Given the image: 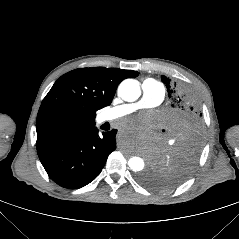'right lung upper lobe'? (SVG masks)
Here are the masks:
<instances>
[{"mask_svg": "<svg viewBox=\"0 0 239 239\" xmlns=\"http://www.w3.org/2000/svg\"><path fill=\"white\" fill-rule=\"evenodd\" d=\"M138 74L94 67L75 69L61 76L38 111L37 143L95 125V112L111 104L119 83Z\"/></svg>", "mask_w": 239, "mask_h": 239, "instance_id": "right-lung-upper-lobe-1", "label": "right lung upper lobe"}]
</instances>
